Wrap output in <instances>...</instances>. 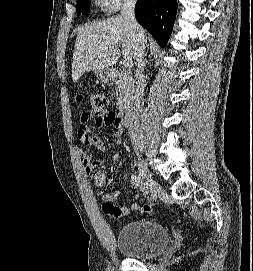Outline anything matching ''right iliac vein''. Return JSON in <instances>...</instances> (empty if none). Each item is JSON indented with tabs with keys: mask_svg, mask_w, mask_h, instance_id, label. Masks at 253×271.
I'll use <instances>...</instances> for the list:
<instances>
[{
	"mask_svg": "<svg viewBox=\"0 0 253 271\" xmlns=\"http://www.w3.org/2000/svg\"><path fill=\"white\" fill-rule=\"evenodd\" d=\"M138 159L141 160L140 155H138ZM138 171L146 193L157 187V183L154 181L152 175L147 169V166L142 161H139L138 163Z\"/></svg>",
	"mask_w": 253,
	"mask_h": 271,
	"instance_id": "63e3f726",
	"label": "right iliac vein"
}]
</instances>
